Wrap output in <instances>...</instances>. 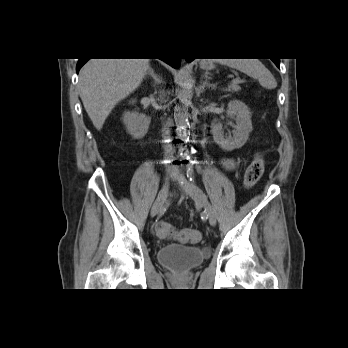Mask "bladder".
<instances>
[{"mask_svg": "<svg viewBox=\"0 0 348 348\" xmlns=\"http://www.w3.org/2000/svg\"><path fill=\"white\" fill-rule=\"evenodd\" d=\"M209 255L201 246L170 244L157 252L158 261L174 270L186 271L199 265Z\"/></svg>", "mask_w": 348, "mask_h": 348, "instance_id": "bladder-1", "label": "bladder"}]
</instances>
